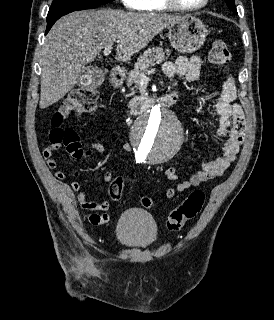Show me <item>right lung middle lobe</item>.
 <instances>
[{
	"instance_id": "obj_1",
	"label": "right lung middle lobe",
	"mask_w": 274,
	"mask_h": 320,
	"mask_svg": "<svg viewBox=\"0 0 274 320\" xmlns=\"http://www.w3.org/2000/svg\"><path fill=\"white\" fill-rule=\"evenodd\" d=\"M114 0H53L47 20L62 17L77 10L93 9Z\"/></svg>"
}]
</instances>
